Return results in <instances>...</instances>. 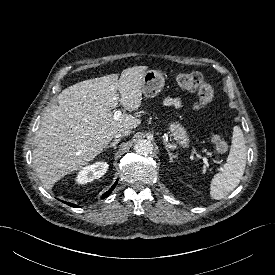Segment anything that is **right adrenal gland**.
<instances>
[{
	"label": "right adrenal gland",
	"mask_w": 275,
	"mask_h": 275,
	"mask_svg": "<svg viewBox=\"0 0 275 275\" xmlns=\"http://www.w3.org/2000/svg\"><path fill=\"white\" fill-rule=\"evenodd\" d=\"M121 139H115L110 145H108L107 147H105V150L109 149V148H113V150L116 149V145L119 143Z\"/></svg>",
	"instance_id": "obj_1"
}]
</instances>
